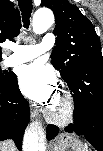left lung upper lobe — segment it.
Listing matches in <instances>:
<instances>
[{"instance_id": "left-lung-upper-lobe-1", "label": "left lung upper lobe", "mask_w": 103, "mask_h": 151, "mask_svg": "<svg viewBox=\"0 0 103 151\" xmlns=\"http://www.w3.org/2000/svg\"><path fill=\"white\" fill-rule=\"evenodd\" d=\"M41 6L55 14L57 37L51 55L53 66L67 84L75 76L90 78V62H103L100 40L91 21L68 0H42Z\"/></svg>"}]
</instances>
